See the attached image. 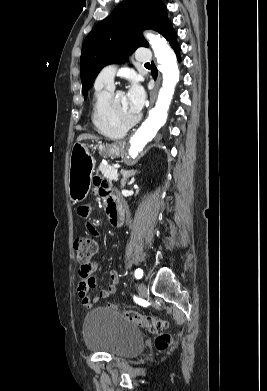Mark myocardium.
<instances>
[{"instance_id":"f54148a6","label":"myocardium","mask_w":267,"mask_h":391,"mask_svg":"<svg viewBox=\"0 0 267 391\" xmlns=\"http://www.w3.org/2000/svg\"><path fill=\"white\" fill-rule=\"evenodd\" d=\"M119 94H123V92L119 90V91L111 93V95L109 96L108 101H107V110H108L110 118L112 119V121L115 124H117L118 126H120L122 128L129 129L130 127L135 125L140 120V115H136L134 118H132L130 120L121 119L118 116V114L116 113L115 107H114V99Z\"/></svg>"}]
</instances>
